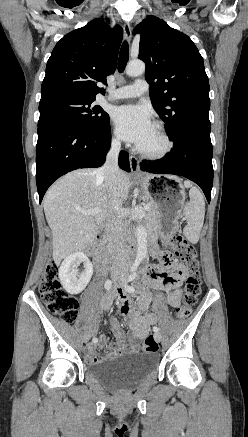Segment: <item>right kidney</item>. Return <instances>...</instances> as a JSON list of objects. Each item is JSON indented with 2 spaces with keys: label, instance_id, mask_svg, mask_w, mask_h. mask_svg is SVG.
<instances>
[{
  "label": "right kidney",
  "instance_id": "right-kidney-1",
  "mask_svg": "<svg viewBox=\"0 0 248 437\" xmlns=\"http://www.w3.org/2000/svg\"><path fill=\"white\" fill-rule=\"evenodd\" d=\"M84 263V270L79 272L78 265ZM93 275V266L83 252L67 256L59 268V278L63 288L70 294L81 293Z\"/></svg>",
  "mask_w": 248,
  "mask_h": 437
}]
</instances>
